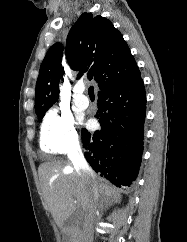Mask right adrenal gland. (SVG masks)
<instances>
[{"label":"right adrenal gland","mask_w":187,"mask_h":242,"mask_svg":"<svg viewBox=\"0 0 187 242\" xmlns=\"http://www.w3.org/2000/svg\"><path fill=\"white\" fill-rule=\"evenodd\" d=\"M109 206V201L103 195L100 196L99 208L101 209L102 213L105 211Z\"/></svg>","instance_id":"obj_1"}]
</instances>
